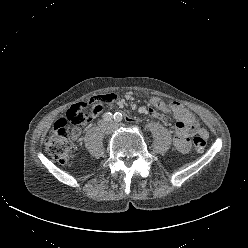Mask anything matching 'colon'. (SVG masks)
Here are the masks:
<instances>
[{"label": "colon", "instance_id": "1", "mask_svg": "<svg viewBox=\"0 0 248 248\" xmlns=\"http://www.w3.org/2000/svg\"><path fill=\"white\" fill-rule=\"evenodd\" d=\"M113 101L114 96L106 94L91 97L86 101L72 105L67 110L65 117L54 123L52 132L45 143L47 152L59 164H67L73 152L78 129L86 127L92 121L101 103L109 104ZM206 139L207 132L205 129L198 128L193 138L194 150L202 152L206 146Z\"/></svg>", "mask_w": 248, "mask_h": 248}]
</instances>
